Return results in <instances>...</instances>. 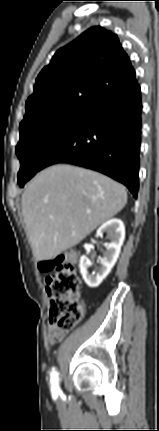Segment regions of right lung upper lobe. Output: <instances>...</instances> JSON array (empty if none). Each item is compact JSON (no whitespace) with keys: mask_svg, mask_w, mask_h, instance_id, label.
Returning <instances> with one entry per match:
<instances>
[{"mask_svg":"<svg viewBox=\"0 0 159 431\" xmlns=\"http://www.w3.org/2000/svg\"><path fill=\"white\" fill-rule=\"evenodd\" d=\"M137 86L117 35L92 27L59 49L40 72L20 127L59 112L89 115Z\"/></svg>","mask_w":159,"mask_h":431,"instance_id":"obj_1","label":"right lung upper lobe"}]
</instances>
